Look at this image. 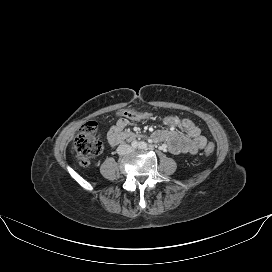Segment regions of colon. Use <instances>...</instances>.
Wrapping results in <instances>:
<instances>
[{
    "mask_svg": "<svg viewBox=\"0 0 272 272\" xmlns=\"http://www.w3.org/2000/svg\"><path fill=\"white\" fill-rule=\"evenodd\" d=\"M126 119L134 121H146L153 117L149 112H140L136 108L123 109L119 112ZM214 145L209 143L205 153L210 155L214 152ZM103 150V144L94 122L86 123L75 140V153L79 163L87 166L90 161L98 156Z\"/></svg>",
    "mask_w": 272,
    "mask_h": 272,
    "instance_id": "1",
    "label": "colon"
}]
</instances>
